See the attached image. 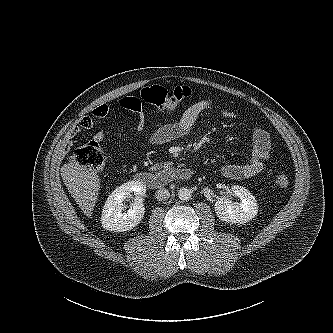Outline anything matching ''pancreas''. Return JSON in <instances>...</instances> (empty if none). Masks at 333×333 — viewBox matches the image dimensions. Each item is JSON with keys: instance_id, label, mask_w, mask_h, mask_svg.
<instances>
[{"instance_id": "cf45deb5", "label": "pancreas", "mask_w": 333, "mask_h": 333, "mask_svg": "<svg viewBox=\"0 0 333 333\" xmlns=\"http://www.w3.org/2000/svg\"><path fill=\"white\" fill-rule=\"evenodd\" d=\"M169 165H170L169 163H164L163 165L162 164H156L154 166V168L161 169V168H163V167L165 168V167H167Z\"/></svg>"}]
</instances>
